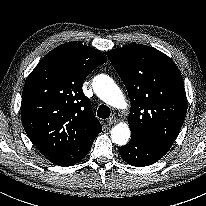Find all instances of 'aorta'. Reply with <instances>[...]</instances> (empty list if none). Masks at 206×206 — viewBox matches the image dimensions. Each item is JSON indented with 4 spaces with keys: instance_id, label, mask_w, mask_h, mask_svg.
<instances>
[{
    "instance_id": "aorta-1",
    "label": "aorta",
    "mask_w": 206,
    "mask_h": 206,
    "mask_svg": "<svg viewBox=\"0 0 206 206\" xmlns=\"http://www.w3.org/2000/svg\"><path fill=\"white\" fill-rule=\"evenodd\" d=\"M93 89L97 96L106 104L114 108H125L127 103L122 91L108 75H98L93 80ZM130 138L128 124L119 123L112 128L111 139L115 144L125 145Z\"/></svg>"
}]
</instances>
